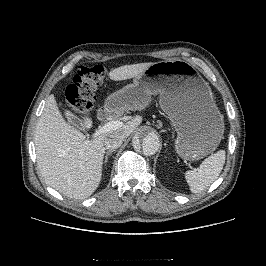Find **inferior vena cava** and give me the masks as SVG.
<instances>
[{"mask_svg": "<svg viewBox=\"0 0 266 266\" xmlns=\"http://www.w3.org/2000/svg\"><path fill=\"white\" fill-rule=\"evenodd\" d=\"M125 140V136L119 133H113L108 135L104 139V145L107 149H116L121 146L123 141Z\"/></svg>", "mask_w": 266, "mask_h": 266, "instance_id": "obj_1", "label": "inferior vena cava"}]
</instances>
